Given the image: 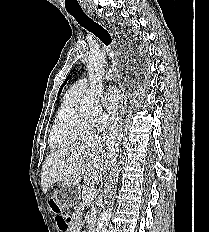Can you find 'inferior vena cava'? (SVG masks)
<instances>
[{
	"label": "inferior vena cava",
	"instance_id": "602c4592",
	"mask_svg": "<svg viewBox=\"0 0 209 232\" xmlns=\"http://www.w3.org/2000/svg\"><path fill=\"white\" fill-rule=\"evenodd\" d=\"M115 128L110 127L108 131L104 134L105 138L107 139V142H115L116 138L114 137Z\"/></svg>",
	"mask_w": 209,
	"mask_h": 232
}]
</instances>
